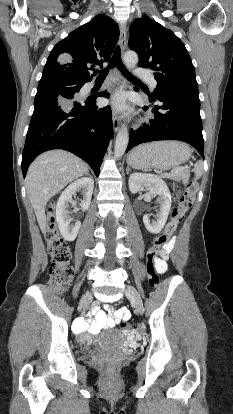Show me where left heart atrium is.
I'll return each instance as SVG.
<instances>
[{
	"label": "left heart atrium",
	"mask_w": 233,
	"mask_h": 414,
	"mask_svg": "<svg viewBox=\"0 0 233 414\" xmlns=\"http://www.w3.org/2000/svg\"><path fill=\"white\" fill-rule=\"evenodd\" d=\"M111 104L115 109H123L125 107V95L123 93H116L111 98Z\"/></svg>",
	"instance_id": "left-heart-atrium-1"
}]
</instances>
